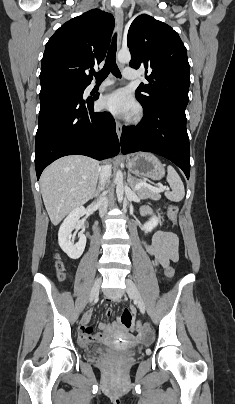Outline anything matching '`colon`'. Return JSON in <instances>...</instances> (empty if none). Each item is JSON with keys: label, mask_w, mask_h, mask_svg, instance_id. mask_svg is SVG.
<instances>
[{"label": "colon", "mask_w": 235, "mask_h": 404, "mask_svg": "<svg viewBox=\"0 0 235 404\" xmlns=\"http://www.w3.org/2000/svg\"><path fill=\"white\" fill-rule=\"evenodd\" d=\"M177 212H178V207L176 205H170L169 206V213H170V217H171L172 220L175 219V216H176ZM56 267H57V270L59 271L60 278H63L64 277V266H63V264L61 262H57ZM166 276L169 279L173 278L174 269L172 267L169 266L167 268ZM120 322L125 328H127L129 330H136V329H138L140 327L139 323L134 322L132 313H131V311L129 309H124L123 310V312L121 314V317H120Z\"/></svg>", "instance_id": "obj_1"}]
</instances>
